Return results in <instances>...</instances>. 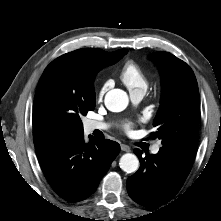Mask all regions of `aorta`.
Here are the masks:
<instances>
[{
  "label": "aorta",
  "instance_id": "obj_1",
  "mask_svg": "<svg viewBox=\"0 0 221 221\" xmlns=\"http://www.w3.org/2000/svg\"><path fill=\"white\" fill-rule=\"evenodd\" d=\"M128 103V95L121 89H112L105 96V106L112 112L123 111L128 106ZM119 165L123 171L133 173L139 168V160L136 155L126 153L120 158Z\"/></svg>",
  "mask_w": 221,
  "mask_h": 221
}]
</instances>
